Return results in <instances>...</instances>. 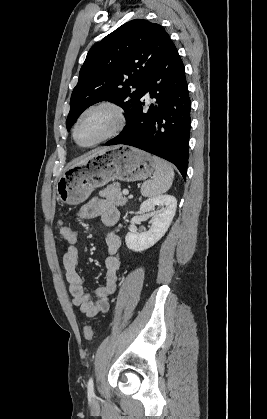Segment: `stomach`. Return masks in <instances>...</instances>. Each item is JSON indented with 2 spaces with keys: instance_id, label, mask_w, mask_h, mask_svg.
Masks as SVG:
<instances>
[{
  "instance_id": "0dacf381",
  "label": "stomach",
  "mask_w": 267,
  "mask_h": 419,
  "mask_svg": "<svg viewBox=\"0 0 267 419\" xmlns=\"http://www.w3.org/2000/svg\"><path fill=\"white\" fill-rule=\"evenodd\" d=\"M155 170L153 157L129 146H114L68 168L56 183L58 199L69 205L84 202L97 188L112 180L135 182L150 177Z\"/></svg>"
}]
</instances>
